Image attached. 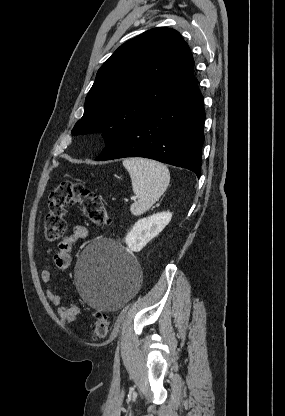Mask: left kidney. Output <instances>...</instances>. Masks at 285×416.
<instances>
[{
    "instance_id": "obj_1",
    "label": "left kidney",
    "mask_w": 285,
    "mask_h": 416,
    "mask_svg": "<svg viewBox=\"0 0 285 416\" xmlns=\"http://www.w3.org/2000/svg\"><path fill=\"white\" fill-rule=\"evenodd\" d=\"M172 218L171 212H159L149 218H142L134 224L132 230L125 236L129 252H140L150 240L156 238Z\"/></svg>"
}]
</instances>
